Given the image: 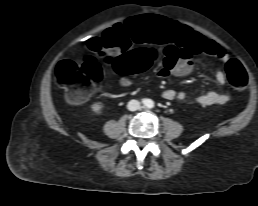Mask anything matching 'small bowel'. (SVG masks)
Instances as JSON below:
<instances>
[{
  "label": "small bowel",
  "mask_w": 258,
  "mask_h": 206,
  "mask_svg": "<svg viewBox=\"0 0 258 206\" xmlns=\"http://www.w3.org/2000/svg\"><path fill=\"white\" fill-rule=\"evenodd\" d=\"M124 30L119 27H114L107 30L103 36L101 44L106 48L108 53L113 56H119L124 48V40H119L118 37H123ZM165 47L163 48V65L158 70L159 77L187 76L194 70V62L192 54L205 53L212 55L221 62H227L230 55L227 50L223 49L218 43L206 39L203 35L192 31L187 26L173 25V29L161 36ZM216 81L219 85H224L226 74L222 70H217L215 74ZM133 80L123 76L119 79V84L122 87H130L133 85ZM162 97L166 100H185L187 93L185 91H175L167 89L162 93ZM230 100V95L227 93H218L209 91L198 95L194 102L201 106L224 105Z\"/></svg>",
  "instance_id": "c3829d8e"
}]
</instances>
